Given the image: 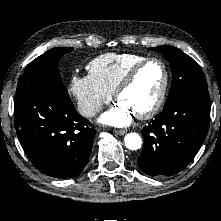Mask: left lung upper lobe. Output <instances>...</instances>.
Instances as JSON below:
<instances>
[{
	"label": "left lung upper lobe",
	"mask_w": 221,
	"mask_h": 221,
	"mask_svg": "<svg viewBox=\"0 0 221 221\" xmlns=\"http://www.w3.org/2000/svg\"><path fill=\"white\" fill-rule=\"evenodd\" d=\"M149 50L162 53L170 63L172 86L164 109L191 92L208 89L199 64L181 50L171 46H159Z\"/></svg>",
	"instance_id": "5c2ea615"
}]
</instances>
